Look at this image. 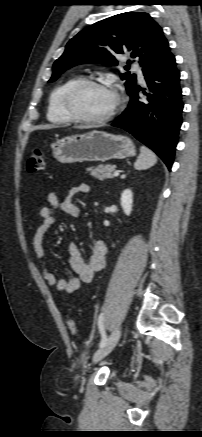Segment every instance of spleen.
Instances as JSON below:
<instances>
[{"label":"spleen","mask_w":202,"mask_h":437,"mask_svg":"<svg viewBox=\"0 0 202 437\" xmlns=\"http://www.w3.org/2000/svg\"><path fill=\"white\" fill-rule=\"evenodd\" d=\"M157 163V156L146 146L140 148V154L134 163L136 170H146Z\"/></svg>","instance_id":"1"}]
</instances>
